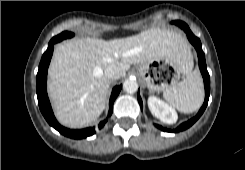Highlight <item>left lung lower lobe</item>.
Segmentation results:
<instances>
[{
    "label": "left lung lower lobe",
    "instance_id": "obj_1",
    "mask_svg": "<svg viewBox=\"0 0 245 170\" xmlns=\"http://www.w3.org/2000/svg\"><path fill=\"white\" fill-rule=\"evenodd\" d=\"M178 25L186 32L187 38L189 39V41L192 43V45L195 47V49L197 51L198 60H199V67H200V71L202 73V76L204 79V85H205V101H204L202 108L198 112V114L194 118L190 119L189 121L182 123L177 129L169 130V129L163 128L160 125H156L159 129H161L163 131H167V132H179V131L185 130V129L189 128L190 126H192L199 119V117L202 115V113L204 112V110L208 104L209 95H210V77H209V73L207 71L206 62H205V54L202 51L201 42H200L199 38H197L196 36L193 35L191 30L189 29V27L185 23L180 22ZM138 102L142 107V100H141L139 93H138Z\"/></svg>",
    "mask_w": 245,
    "mask_h": 170
}]
</instances>
